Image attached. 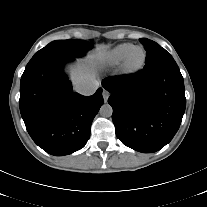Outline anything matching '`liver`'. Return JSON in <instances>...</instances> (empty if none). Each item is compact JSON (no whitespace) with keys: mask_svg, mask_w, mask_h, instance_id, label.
<instances>
[{"mask_svg":"<svg viewBox=\"0 0 207 207\" xmlns=\"http://www.w3.org/2000/svg\"><path fill=\"white\" fill-rule=\"evenodd\" d=\"M93 59H94V56L91 55L88 57V60L85 62H82L81 65H78L77 67L70 66L68 68L71 80L73 81L74 85L78 84L79 82L83 80L91 79L94 77V73L91 68V63Z\"/></svg>","mask_w":207,"mask_h":207,"instance_id":"6515ba94","label":"liver"}]
</instances>
